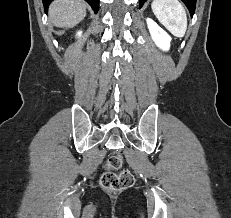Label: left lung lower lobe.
Wrapping results in <instances>:
<instances>
[{"label":"left lung lower lobe","mask_w":231,"mask_h":218,"mask_svg":"<svg viewBox=\"0 0 231 218\" xmlns=\"http://www.w3.org/2000/svg\"><path fill=\"white\" fill-rule=\"evenodd\" d=\"M147 0H139L140 7L146 2ZM185 5L188 7L191 16H193L195 11L196 0H182Z\"/></svg>","instance_id":"left-lung-lower-lobe-1"}]
</instances>
